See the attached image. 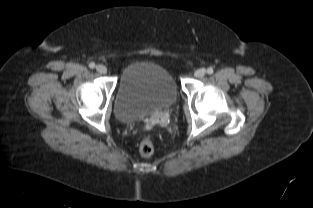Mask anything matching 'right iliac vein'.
<instances>
[{"label": "right iliac vein", "instance_id": "1", "mask_svg": "<svg viewBox=\"0 0 313 208\" xmlns=\"http://www.w3.org/2000/svg\"><path fill=\"white\" fill-rule=\"evenodd\" d=\"M96 71L100 74H106L107 73V68L104 65H97L96 66Z\"/></svg>", "mask_w": 313, "mask_h": 208}]
</instances>
